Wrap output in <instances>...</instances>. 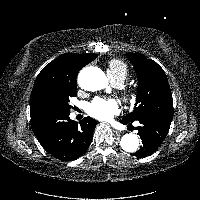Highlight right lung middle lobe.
Masks as SVG:
<instances>
[{"instance_id": "right-lung-middle-lobe-1", "label": "right lung middle lobe", "mask_w": 200, "mask_h": 200, "mask_svg": "<svg viewBox=\"0 0 200 200\" xmlns=\"http://www.w3.org/2000/svg\"><path fill=\"white\" fill-rule=\"evenodd\" d=\"M77 92V83H71L60 89H45L35 98L31 114L43 116L59 113H70L71 106L69 98L74 97Z\"/></svg>"}]
</instances>
